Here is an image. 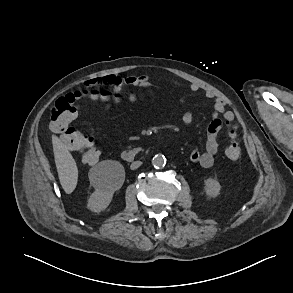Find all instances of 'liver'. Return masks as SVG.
<instances>
[{
	"instance_id": "6515ba94",
	"label": "liver",
	"mask_w": 293,
	"mask_h": 293,
	"mask_svg": "<svg viewBox=\"0 0 293 293\" xmlns=\"http://www.w3.org/2000/svg\"><path fill=\"white\" fill-rule=\"evenodd\" d=\"M52 144L60 184L65 193L70 194L78 181L77 164L67 146L55 135L52 136Z\"/></svg>"
}]
</instances>
